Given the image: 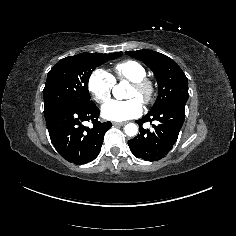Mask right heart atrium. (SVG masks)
Masks as SVG:
<instances>
[{"mask_svg":"<svg viewBox=\"0 0 236 236\" xmlns=\"http://www.w3.org/2000/svg\"><path fill=\"white\" fill-rule=\"evenodd\" d=\"M114 87L113 77L102 69H96L89 77L88 89L93 101L99 105H104L110 100Z\"/></svg>","mask_w":236,"mask_h":236,"instance_id":"obj_1","label":"right heart atrium"}]
</instances>
